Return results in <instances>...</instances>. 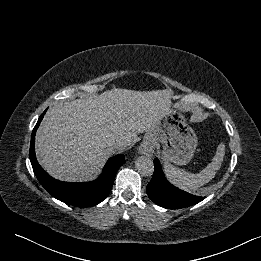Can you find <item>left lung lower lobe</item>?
<instances>
[{
    "label": "left lung lower lobe",
    "instance_id": "left-lung-lower-lobe-1",
    "mask_svg": "<svg viewBox=\"0 0 261 261\" xmlns=\"http://www.w3.org/2000/svg\"><path fill=\"white\" fill-rule=\"evenodd\" d=\"M154 174L147 186L149 198L167 209H181L201 202L204 197L192 195L171 185L165 178L160 162L154 160Z\"/></svg>",
    "mask_w": 261,
    "mask_h": 261
}]
</instances>
